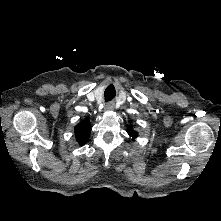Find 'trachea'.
I'll use <instances>...</instances> for the list:
<instances>
[{
    "instance_id": "3493384b",
    "label": "trachea",
    "mask_w": 221,
    "mask_h": 221,
    "mask_svg": "<svg viewBox=\"0 0 221 221\" xmlns=\"http://www.w3.org/2000/svg\"><path fill=\"white\" fill-rule=\"evenodd\" d=\"M105 101H111L115 97V89L113 86L107 87V89L104 92Z\"/></svg>"
}]
</instances>
